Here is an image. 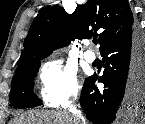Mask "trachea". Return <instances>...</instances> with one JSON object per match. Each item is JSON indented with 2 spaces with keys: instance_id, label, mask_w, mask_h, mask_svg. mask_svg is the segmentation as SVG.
<instances>
[{
  "instance_id": "trachea-1",
  "label": "trachea",
  "mask_w": 145,
  "mask_h": 124,
  "mask_svg": "<svg viewBox=\"0 0 145 124\" xmlns=\"http://www.w3.org/2000/svg\"><path fill=\"white\" fill-rule=\"evenodd\" d=\"M98 42H99V40L93 39V43H94V44H97Z\"/></svg>"
}]
</instances>
